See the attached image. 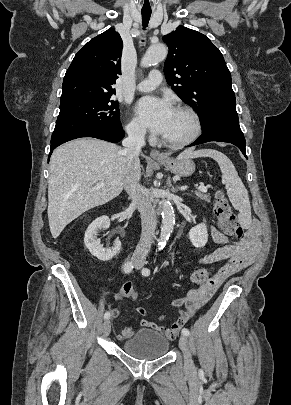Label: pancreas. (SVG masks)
<instances>
[{
	"label": "pancreas",
	"instance_id": "cf45deb5",
	"mask_svg": "<svg viewBox=\"0 0 291 405\" xmlns=\"http://www.w3.org/2000/svg\"><path fill=\"white\" fill-rule=\"evenodd\" d=\"M196 196L200 199L203 200L205 202H210V198L209 195L205 194V193H201V192H197Z\"/></svg>",
	"mask_w": 291,
	"mask_h": 405
}]
</instances>
